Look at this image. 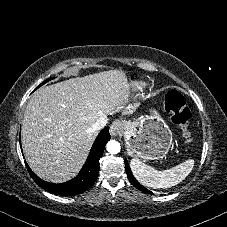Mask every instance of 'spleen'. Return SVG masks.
<instances>
[{
  "instance_id": "obj_1",
  "label": "spleen",
  "mask_w": 227,
  "mask_h": 227,
  "mask_svg": "<svg viewBox=\"0 0 227 227\" xmlns=\"http://www.w3.org/2000/svg\"><path fill=\"white\" fill-rule=\"evenodd\" d=\"M130 166L133 175L142 185L159 189L169 188L183 181L192 171L194 160L188 159L175 167L163 171H158L144 164L138 158H132Z\"/></svg>"
}]
</instances>
